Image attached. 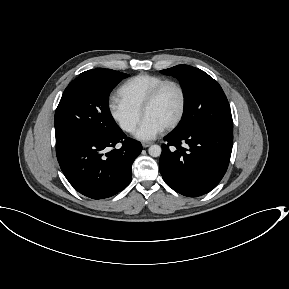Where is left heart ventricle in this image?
<instances>
[{"instance_id":"left-heart-ventricle-1","label":"left heart ventricle","mask_w":289,"mask_h":289,"mask_svg":"<svg viewBox=\"0 0 289 289\" xmlns=\"http://www.w3.org/2000/svg\"><path fill=\"white\" fill-rule=\"evenodd\" d=\"M180 104L181 96L178 89L173 85H168L146 111L144 118H149L165 128L176 118Z\"/></svg>"}]
</instances>
